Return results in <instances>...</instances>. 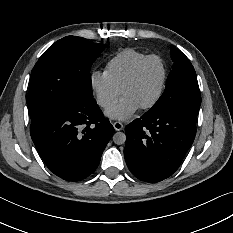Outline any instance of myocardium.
<instances>
[{"label": "myocardium", "instance_id": "1", "mask_svg": "<svg viewBox=\"0 0 233 233\" xmlns=\"http://www.w3.org/2000/svg\"><path fill=\"white\" fill-rule=\"evenodd\" d=\"M153 59H158L161 61L162 65H163V69H164V76H163V81H162V84H161V87L159 89L157 96L155 97V99L151 103L141 107V110H143V111H149V110H152L153 108H155L164 96V93H165L166 88H167L168 80H169V67H168L166 60L161 55H158V54H151V55L146 56L133 69V71L130 73V75L127 77V79L124 81V83L122 84V87H121V93L123 95L125 93V91L137 80L138 76L140 75L141 71L146 66V64Z\"/></svg>", "mask_w": 233, "mask_h": 233}]
</instances>
